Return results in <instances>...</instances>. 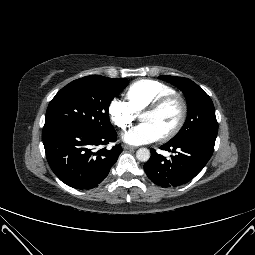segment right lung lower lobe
Wrapping results in <instances>:
<instances>
[{
  "label": "right lung lower lobe",
  "instance_id": "1",
  "mask_svg": "<svg viewBox=\"0 0 255 255\" xmlns=\"http://www.w3.org/2000/svg\"><path fill=\"white\" fill-rule=\"evenodd\" d=\"M113 129L97 134L78 126L43 128L42 139L46 158L55 175L65 184L76 189H92L108 175L117 161L122 147L111 149L95 147L116 141Z\"/></svg>",
  "mask_w": 255,
  "mask_h": 255
}]
</instances>
